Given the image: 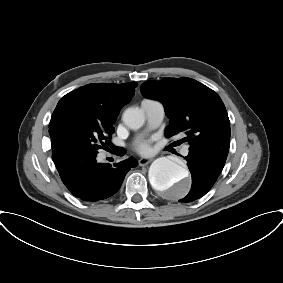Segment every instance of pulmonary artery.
<instances>
[{"instance_id":"obj_1","label":"pulmonary artery","mask_w":283,"mask_h":283,"mask_svg":"<svg viewBox=\"0 0 283 283\" xmlns=\"http://www.w3.org/2000/svg\"><path fill=\"white\" fill-rule=\"evenodd\" d=\"M141 107L145 112L147 126L146 130H152L157 128L163 121L165 109L164 105L155 100H143L141 102ZM189 152V146L185 145L182 149V154L187 155Z\"/></svg>"}]
</instances>
